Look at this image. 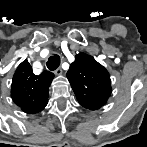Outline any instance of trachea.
Listing matches in <instances>:
<instances>
[{
  "mask_svg": "<svg viewBox=\"0 0 147 147\" xmlns=\"http://www.w3.org/2000/svg\"><path fill=\"white\" fill-rule=\"evenodd\" d=\"M46 65L49 70H51V71L56 70L60 65V57L57 55L51 56L48 59Z\"/></svg>",
  "mask_w": 147,
  "mask_h": 147,
  "instance_id": "trachea-1",
  "label": "trachea"
}]
</instances>
